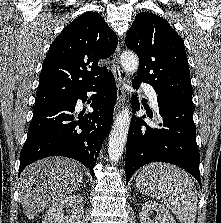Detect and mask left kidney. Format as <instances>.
Instances as JSON below:
<instances>
[{
  "label": "left kidney",
  "mask_w": 221,
  "mask_h": 223,
  "mask_svg": "<svg viewBox=\"0 0 221 223\" xmlns=\"http://www.w3.org/2000/svg\"><path fill=\"white\" fill-rule=\"evenodd\" d=\"M152 212H156L155 218H151ZM176 223L170 212L155 201L145 202L140 213V223Z\"/></svg>",
  "instance_id": "5707ae66"
}]
</instances>
